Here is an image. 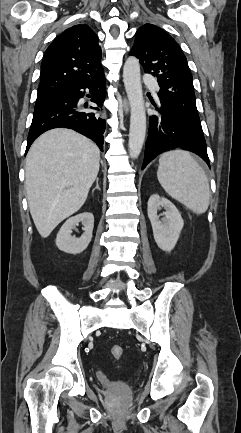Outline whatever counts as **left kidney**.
<instances>
[{
	"label": "left kidney",
	"instance_id": "5707ae66",
	"mask_svg": "<svg viewBox=\"0 0 241 433\" xmlns=\"http://www.w3.org/2000/svg\"><path fill=\"white\" fill-rule=\"evenodd\" d=\"M147 205L154 240L160 249L170 252L175 247L184 226L181 214L172 202L158 194L150 196ZM161 208H164L165 212L164 218L159 220L157 211Z\"/></svg>",
	"mask_w": 241,
	"mask_h": 433
}]
</instances>
